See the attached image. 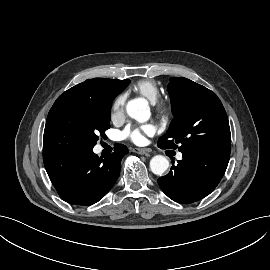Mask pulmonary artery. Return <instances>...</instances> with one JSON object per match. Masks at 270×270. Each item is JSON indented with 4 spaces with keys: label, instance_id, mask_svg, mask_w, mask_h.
<instances>
[{
    "label": "pulmonary artery",
    "instance_id": "1",
    "mask_svg": "<svg viewBox=\"0 0 270 270\" xmlns=\"http://www.w3.org/2000/svg\"><path fill=\"white\" fill-rule=\"evenodd\" d=\"M177 158H178V159H181V158H182V154H178V155H177Z\"/></svg>",
    "mask_w": 270,
    "mask_h": 270
}]
</instances>
